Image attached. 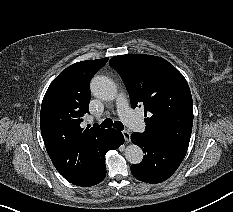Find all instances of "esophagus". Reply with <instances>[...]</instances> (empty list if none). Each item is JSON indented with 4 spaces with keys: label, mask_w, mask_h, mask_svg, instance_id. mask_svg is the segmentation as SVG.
<instances>
[{
    "label": "esophagus",
    "mask_w": 233,
    "mask_h": 212,
    "mask_svg": "<svg viewBox=\"0 0 233 212\" xmlns=\"http://www.w3.org/2000/svg\"><path fill=\"white\" fill-rule=\"evenodd\" d=\"M122 134H123V136H124L125 141H126V142H129L130 139H131V135H130L129 131L124 130V131H122Z\"/></svg>",
    "instance_id": "34e87169"
}]
</instances>
